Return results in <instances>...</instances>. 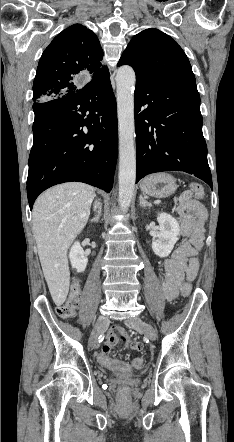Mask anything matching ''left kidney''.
<instances>
[{
    "label": "left kidney",
    "mask_w": 234,
    "mask_h": 442,
    "mask_svg": "<svg viewBox=\"0 0 234 442\" xmlns=\"http://www.w3.org/2000/svg\"><path fill=\"white\" fill-rule=\"evenodd\" d=\"M159 232L152 240L154 253L159 257H167L175 243L179 240L180 227L177 220L167 213L158 214Z\"/></svg>",
    "instance_id": "obj_1"
}]
</instances>
